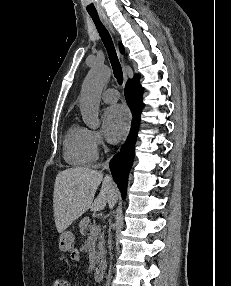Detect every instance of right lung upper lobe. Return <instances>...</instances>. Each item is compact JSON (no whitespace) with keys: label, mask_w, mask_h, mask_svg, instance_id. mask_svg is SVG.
<instances>
[{"label":"right lung upper lobe","mask_w":231,"mask_h":286,"mask_svg":"<svg viewBox=\"0 0 231 286\" xmlns=\"http://www.w3.org/2000/svg\"><path fill=\"white\" fill-rule=\"evenodd\" d=\"M120 51L122 52V53H124V48H123V46L120 44Z\"/></svg>","instance_id":"cb5924a9"}]
</instances>
